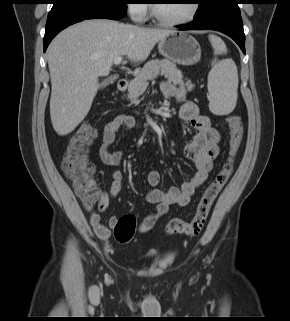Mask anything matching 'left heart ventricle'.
I'll return each mask as SVG.
<instances>
[{"label": "left heart ventricle", "mask_w": 290, "mask_h": 321, "mask_svg": "<svg viewBox=\"0 0 290 321\" xmlns=\"http://www.w3.org/2000/svg\"><path fill=\"white\" fill-rule=\"evenodd\" d=\"M159 15L167 20H179L187 17L192 10L191 0H158Z\"/></svg>", "instance_id": "b2bd125f"}]
</instances>
